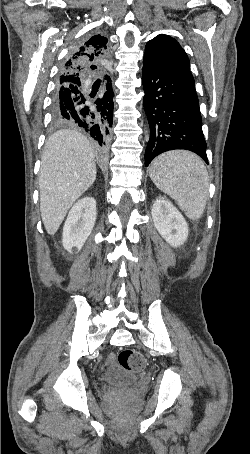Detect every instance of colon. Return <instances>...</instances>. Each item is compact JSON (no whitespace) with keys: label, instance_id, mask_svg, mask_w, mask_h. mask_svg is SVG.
Returning a JSON list of instances; mask_svg holds the SVG:
<instances>
[{"label":"colon","instance_id":"5ec220e1","mask_svg":"<svg viewBox=\"0 0 250 454\" xmlns=\"http://www.w3.org/2000/svg\"><path fill=\"white\" fill-rule=\"evenodd\" d=\"M120 366L130 372H141L146 365V360L142 353L132 349H124L118 354Z\"/></svg>","mask_w":250,"mask_h":454}]
</instances>
